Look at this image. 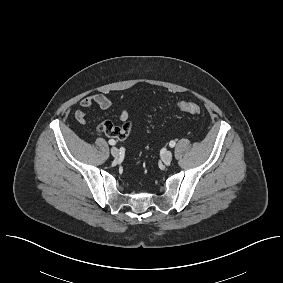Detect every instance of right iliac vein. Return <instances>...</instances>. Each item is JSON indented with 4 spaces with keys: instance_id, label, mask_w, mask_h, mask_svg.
<instances>
[{
    "instance_id": "63e3f726",
    "label": "right iliac vein",
    "mask_w": 283,
    "mask_h": 283,
    "mask_svg": "<svg viewBox=\"0 0 283 283\" xmlns=\"http://www.w3.org/2000/svg\"><path fill=\"white\" fill-rule=\"evenodd\" d=\"M110 151H111V154H112L113 157L117 158L119 156L118 148L112 147Z\"/></svg>"
}]
</instances>
